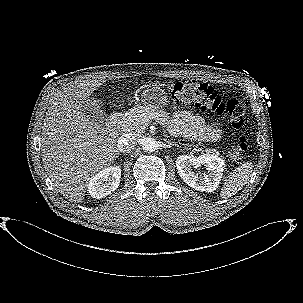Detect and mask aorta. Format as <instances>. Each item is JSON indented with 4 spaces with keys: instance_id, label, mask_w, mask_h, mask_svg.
<instances>
[{
    "instance_id": "762f6f07",
    "label": "aorta",
    "mask_w": 303,
    "mask_h": 303,
    "mask_svg": "<svg viewBox=\"0 0 303 303\" xmlns=\"http://www.w3.org/2000/svg\"><path fill=\"white\" fill-rule=\"evenodd\" d=\"M144 151L153 152L157 149L158 143L152 137H146L141 142Z\"/></svg>"
}]
</instances>
